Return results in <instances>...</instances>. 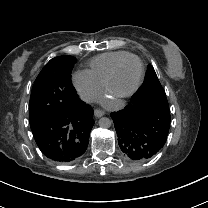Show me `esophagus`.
Here are the masks:
<instances>
[{"instance_id": "1", "label": "esophagus", "mask_w": 208, "mask_h": 208, "mask_svg": "<svg viewBox=\"0 0 208 208\" xmlns=\"http://www.w3.org/2000/svg\"><path fill=\"white\" fill-rule=\"evenodd\" d=\"M105 114V112H103L102 110H94V116L96 118H100Z\"/></svg>"}]
</instances>
